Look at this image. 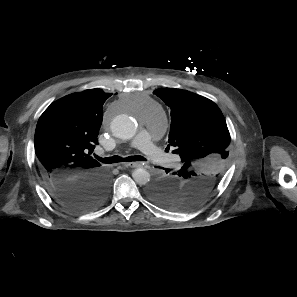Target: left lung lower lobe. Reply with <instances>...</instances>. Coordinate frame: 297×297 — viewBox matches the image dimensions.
<instances>
[{
	"label": "left lung lower lobe",
	"mask_w": 297,
	"mask_h": 297,
	"mask_svg": "<svg viewBox=\"0 0 297 297\" xmlns=\"http://www.w3.org/2000/svg\"><path fill=\"white\" fill-rule=\"evenodd\" d=\"M166 173L169 174L171 172L170 169H165Z\"/></svg>",
	"instance_id": "0a47b994"
}]
</instances>
